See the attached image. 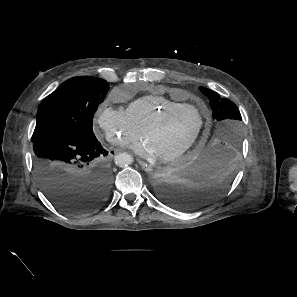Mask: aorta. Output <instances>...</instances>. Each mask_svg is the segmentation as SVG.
I'll list each match as a JSON object with an SVG mask.
<instances>
[{"mask_svg": "<svg viewBox=\"0 0 297 297\" xmlns=\"http://www.w3.org/2000/svg\"><path fill=\"white\" fill-rule=\"evenodd\" d=\"M115 164L120 167L128 166L129 164H132L133 157L128 153H119L114 158Z\"/></svg>", "mask_w": 297, "mask_h": 297, "instance_id": "762f6f07", "label": "aorta"}]
</instances>
